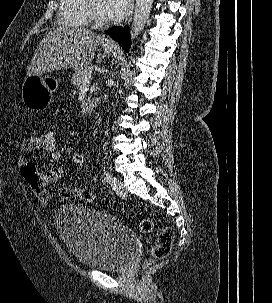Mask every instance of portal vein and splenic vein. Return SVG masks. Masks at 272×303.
I'll list each match as a JSON object with an SVG mask.
<instances>
[{"mask_svg":"<svg viewBox=\"0 0 272 303\" xmlns=\"http://www.w3.org/2000/svg\"><path fill=\"white\" fill-rule=\"evenodd\" d=\"M91 78H92V74H91V73H89L88 75H86V76L84 77L83 81H82V85H83V86L89 85V84H90Z\"/></svg>","mask_w":272,"mask_h":303,"instance_id":"18ae733b","label":"portal vein and splenic vein"}]
</instances>
